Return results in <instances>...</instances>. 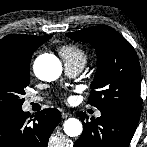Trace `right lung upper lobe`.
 I'll list each match as a JSON object with an SVG mask.
<instances>
[{
    "mask_svg": "<svg viewBox=\"0 0 147 147\" xmlns=\"http://www.w3.org/2000/svg\"><path fill=\"white\" fill-rule=\"evenodd\" d=\"M50 38L51 35H7L0 40V58L21 60L30 64L33 52Z\"/></svg>",
    "mask_w": 147,
    "mask_h": 147,
    "instance_id": "obj_1",
    "label": "right lung upper lobe"
}]
</instances>
